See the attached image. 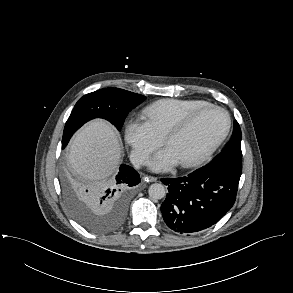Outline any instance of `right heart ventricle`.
I'll return each instance as SVG.
<instances>
[{
	"label": "right heart ventricle",
	"instance_id": "right-heart-ventricle-1",
	"mask_svg": "<svg viewBox=\"0 0 293 293\" xmlns=\"http://www.w3.org/2000/svg\"><path fill=\"white\" fill-rule=\"evenodd\" d=\"M209 104L195 99H163L156 101L143 110V115L152 128L163 137L176 122L193 110Z\"/></svg>",
	"mask_w": 293,
	"mask_h": 293
}]
</instances>
